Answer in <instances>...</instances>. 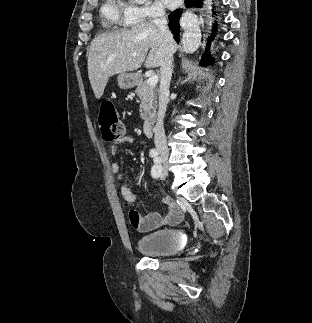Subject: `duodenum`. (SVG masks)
Wrapping results in <instances>:
<instances>
[{"label": "duodenum", "instance_id": "1", "mask_svg": "<svg viewBox=\"0 0 312 323\" xmlns=\"http://www.w3.org/2000/svg\"><path fill=\"white\" fill-rule=\"evenodd\" d=\"M139 80V76H134L133 81L137 82ZM155 123L154 115L147 116L143 121V130L146 136L150 137L153 132V127Z\"/></svg>", "mask_w": 312, "mask_h": 323}]
</instances>
